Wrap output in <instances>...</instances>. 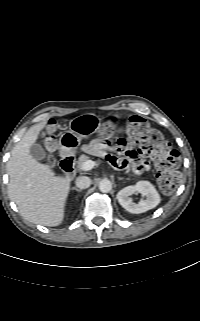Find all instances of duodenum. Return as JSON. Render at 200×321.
<instances>
[{
    "label": "duodenum",
    "instance_id": "410a0bca",
    "mask_svg": "<svg viewBox=\"0 0 200 321\" xmlns=\"http://www.w3.org/2000/svg\"><path fill=\"white\" fill-rule=\"evenodd\" d=\"M60 166L62 171L67 176H72L74 173L75 159L71 154L64 153L62 155Z\"/></svg>",
    "mask_w": 200,
    "mask_h": 321
}]
</instances>
